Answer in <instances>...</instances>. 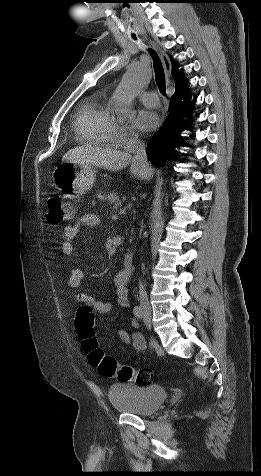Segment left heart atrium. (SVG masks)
<instances>
[{
    "instance_id": "1",
    "label": "left heart atrium",
    "mask_w": 261,
    "mask_h": 476,
    "mask_svg": "<svg viewBox=\"0 0 261 476\" xmlns=\"http://www.w3.org/2000/svg\"><path fill=\"white\" fill-rule=\"evenodd\" d=\"M159 124L158 115L149 110H139L133 117V125L141 131H151Z\"/></svg>"
}]
</instances>
